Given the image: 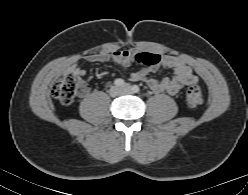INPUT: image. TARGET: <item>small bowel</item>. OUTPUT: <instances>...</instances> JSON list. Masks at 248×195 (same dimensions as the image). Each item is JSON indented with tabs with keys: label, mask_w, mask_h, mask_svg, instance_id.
Masks as SVG:
<instances>
[{
	"label": "small bowel",
	"mask_w": 248,
	"mask_h": 195,
	"mask_svg": "<svg viewBox=\"0 0 248 195\" xmlns=\"http://www.w3.org/2000/svg\"><path fill=\"white\" fill-rule=\"evenodd\" d=\"M87 60L90 62L99 63L114 62L120 67L126 68L130 65L131 53L128 51H113L110 53L101 52L89 55ZM165 68H171L174 70L173 77L158 80L149 76V73H157L164 70ZM66 73H73L79 77H84L86 71L82 66L73 64L67 68ZM130 79L132 81L145 82L155 93L159 94L166 92L170 95H176L185 86L198 83V77L190 66H188L180 58L169 55L160 57L159 63L154 66H149L131 73ZM86 93L87 89L84 94Z\"/></svg>",
	"instance_id": "c3829d8e"
}]
</instances>
